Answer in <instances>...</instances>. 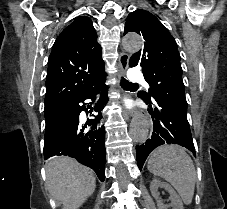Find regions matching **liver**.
Returning a JSON list of instances; mask_svg holds the SVG:
<instances>
[{
  "mask_svg": "<svg viewBox=\"0 0 227 209\" xmlns=\"http://www.w3.org/2000/svg\"><path fill=\"white\" fill-rule=\"evenodd\" d=\"M46 187L63 209H79L96 187V177L88 167L70 157H55L46 165Z\"/></svg>",
  "mask_w": 227,
  "mask_h": 209,
  "instance_id": "6515ba94",
  "label": "liver"
}]
</instances>
